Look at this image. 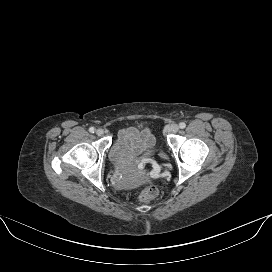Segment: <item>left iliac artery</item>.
<instances>
[{"label":"left iliac artery","instance_id":"obj_1","mask_svg":"<svg viewBox=\"0 0 272 272\" xmlns=\"http://www.w3.org/2000/svg\"><path fill=\"white\" fill-rule=\"evenodd\" d=\"M179 127H180L181 129H184V128L186 127V124H185L184 122H180V123H179Z\"/></svg>","mask_w":272,"mask_h":272}]
</instances>
